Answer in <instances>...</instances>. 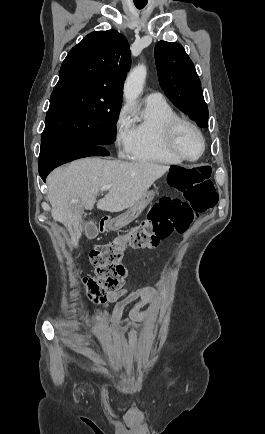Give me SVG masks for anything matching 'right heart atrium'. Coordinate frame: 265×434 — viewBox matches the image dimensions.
Masks as SVG:
<instances>
[{"mask_svg":"<svg viewBox=\"0 0 265 434\" xmlns=\"http://www.w3.org/2000/svg\"><path fill=\"white\" fill-rule=\"evenodd\" d=\"M121 115L115 117V127L112 133V140L116 141V154H120V157H125V154H131L132 148L129 145L130 131L132 124L130 123V108L128 106H121L119 108Z\"/></svg>","mask_w":265,"mask_h":434,"instance_id":"d8ad5b80","label":"right heart atrium"}]
</instances>
